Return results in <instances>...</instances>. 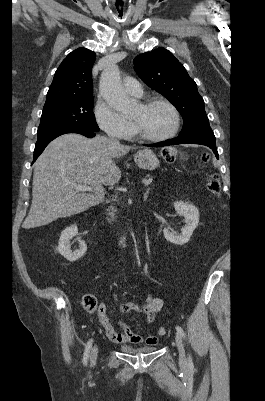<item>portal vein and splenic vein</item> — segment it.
<instances>
[{
	"instance_id": "obj_1",
	"label": "portal vein and splenic vein",
	"mask_w": 265,
	"mask_h": 401,
	"mask_svg": "<svg viewBox=\"0 0 265 401\" xmlns=\"http://www.w3.org/2000/svg\"><path fill=\"white\" fill-rule=\"evenodd\" d=\"M152 180H156V177L148 178L145 180L144 184H150ZM75 190H92L91 186H83V184H74ZM143 188H146V185H143Z\"/></svg>"
}]
</instances>
